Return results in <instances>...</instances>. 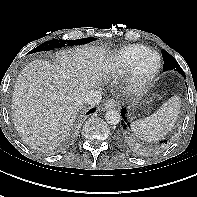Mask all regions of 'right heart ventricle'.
Segmentation results:
<instances>
[{
    "label": "right heart ventricle",
    "mask_w": 197,
    "mask_h": 197,
    "mask_svg": "<svg viewBox=\"0 0 197 197\" xmlns=\"http://www.w3.org/2000/svg\"><path fill=\"white\" fill-rule=\"evenodd\" d=\"M149 51L148 47L140 44L122 47L106 58L103 70L108 75L124 76L129 72L136 60Z\"/></svg>",
    "instance_id": "right-heart-ventricle-1"
}]
</instances>
